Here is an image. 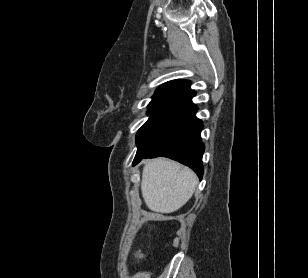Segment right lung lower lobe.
I'll return each instance as SVG.
<instances>
[{
	"mask_svg": "<svg viewBox=\"0 0 308 278\" xmlns=\"http://www.w3.org/2000/svg\"><path fill=\"white\" fill-rule=\"evenodd\" d=\"M197 109L195 106L183 116L175 118L158 134L140 145L133 165L143 158L165 156L188 165L202 179L205 147L200 137L203 124L195 116Z\"/></svg>",
	"mask_w": 308,
	"mask_h": 278,
	"instance_id": "right-lung-lower-lobe-1",
	"label": "right lung lower lobe"
}]
</instances>
